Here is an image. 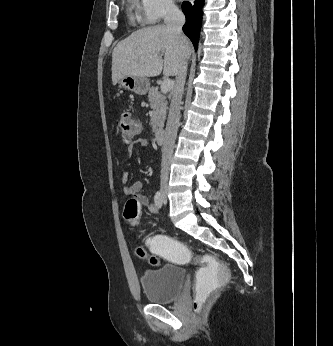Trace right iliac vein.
Wrapping results in <instances>:
<instances>
[{
  "label": "right iliac vein",
  "mask_w": 333,
  "mask_h": 346,
  "mask_svg": "<svg viewBox=\"0 0 333 346\" xmlns=\"http://www.w3.org/2000/svg\"><path fill=\"white\" fill-rule=\"evenodd\" d=\"M167 177H163L161 180V184H160V191L162 193L163 196V200L166 202L167 201V194H168V185H167Z\"/></svg>",
  "instance_id": "63e3f726"
}]
</instances>
